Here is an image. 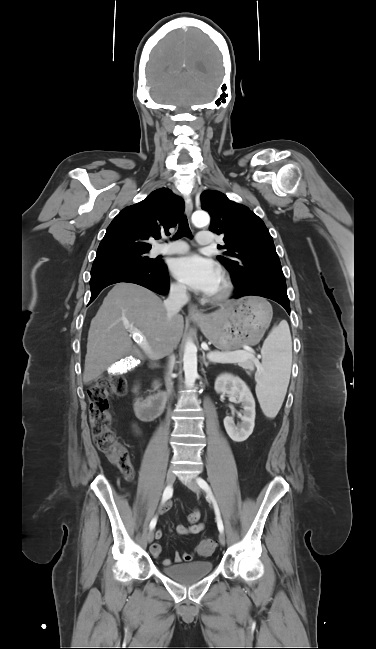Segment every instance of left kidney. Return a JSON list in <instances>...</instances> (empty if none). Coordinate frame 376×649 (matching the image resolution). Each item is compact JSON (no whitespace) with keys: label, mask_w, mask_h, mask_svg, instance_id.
<instances>
[{"label":"left kidney","mask_w":376,"mask_h":649,"mask_svg":"<svg viewBox=\"0 0 376 649\" xmlns=\"http://www.w3.org/2000/svg\"><path fill=\"white\" fill-rule=\"evenodd\" d=\"M215 391L229 394L231 399H236L242 404V422L234 424L233 417L224 419V427L233 441L243 442L253 432L255 425V400L246 383L239 377L231 374H222L215 381Z\"/></svg>","instance_id":"5707ae66"}]
</instances>
